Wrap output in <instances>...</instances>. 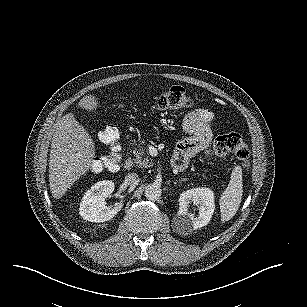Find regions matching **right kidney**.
Here are the masks:
<instances>
[{
    "instance_id": "ca27d5eb",
    "label": "right kidney",
    "mask_w": 307,
    "mask_h": 307,
    "mask_svg": "<svg viewBox=\"0 0 307 307\" xmlns=\"http://www.w3.org/2000/svg\"><path fill=\"white\" fill-rule=\"evenodd\" d=\"M115 189L112 180H100L88 189L79 205V215L89 222H105L110 220L119 208H111L105 205L107 198Z\"/></svg>"
}]
</instances>
